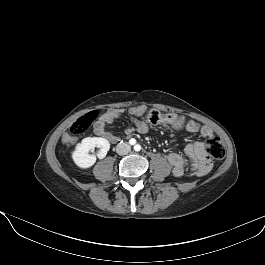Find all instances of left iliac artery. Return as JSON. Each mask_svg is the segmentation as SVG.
I'll use <instances>...</instances> for the list:
<instances>
[{
  "label": "left iliac artery",
  "mask_w": 265,
  "mask_h": 265,
  "mask_svg": "<svg viewBox=\"0 0 265 265\" xmlns=\"http://www.w3.org/2000/svg\"><path fill=\"white\" fill-rule=\"evenodd\" d=\"M134 149H135L136 151H140V150H141V146L137 144V145L134 146Z\"/></svg>",
  "instance_id": "1"
}]
</instances>
